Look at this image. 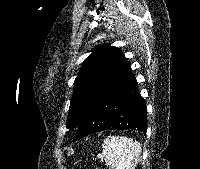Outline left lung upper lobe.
I'll list each match as a JSON object with an SVG mask.
<instances>
[{
  "instance_id": "1",
  "label": "left lung upper lobe",
  "mask_w": 200,
  "mask_h": 169,
  "mask_svg": "<svg viewBox=\"0 0 200 169\" xmlns=\"http://www.w3.org/2000/svg\"><path fill=\"white\" fill-rule=\"evenodd\" d=\"M133 76L129 63L120 50L106 44L95 47L85 59L74 82L67 128H77L96 102Z\"/></svg>"
}]
</instances>
